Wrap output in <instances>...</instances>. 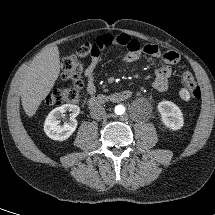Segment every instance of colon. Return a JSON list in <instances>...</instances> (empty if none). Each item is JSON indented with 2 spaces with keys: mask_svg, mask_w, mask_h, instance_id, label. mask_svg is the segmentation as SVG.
<instances>
[{
  "mask_svg": "<svg viewBox=\"0 0 215 215\" xmlns=\"http://www.w3.org/2000/svg\"><path fill=\"white\" fill-rule=\"evenodd\" d=\"M91 54V45L83 44L78 50L76 55L65 57L62 60L61 67L63 71V79L70 82L69 87L57 89L46 97V104L49 106H59L67 103H76L81 96V82L80 73L82 66L79 62L80 57H85ZM182 83L189 95L193 98H199L201 91L197 85L193 75L185 71L182 75Z\"/></svg>",
  "mask_w": 215,
  "mask_h": 215,
  "instance_id": "5ec220e1",
  "label": "colon"
}]
</instances>
